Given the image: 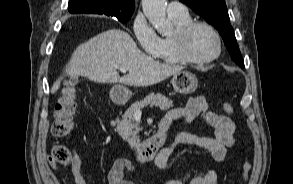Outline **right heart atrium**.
<instances>
[{
    "mask_svg": "<svg viewBox=\"0 0 293 184\" xmlns=\"http://www.w3.org/2000/svg\"><path fill=\"white\" fill-rule=\"evenodd\" d=\"M132 32L141 49L150 56H155L160 44V37L143 14L135 16Z\"/></svg>",
    "mask_w": 293,
    "mask_h": 184,
    "instance_id": "1",
    "label": "right heart atrium"
}]
</instances>
